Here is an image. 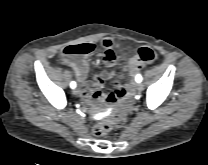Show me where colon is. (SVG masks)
<instances>
[{"mask_svg": "<svg viewBox=\"0 0 208 165\" xmlns=\"http://www.w3.org/2000/svg\"><path fill=\"white\" fill-rule=\"evenodd\" d=\"M92 49L89 45H86L84 43L80 44H73L65 47L62 51V55L65 58H73V57H79L83 56L86 54L91 53ZM158 56L157 54L150 48L148 47H142L138 49L137 55H131L129 57V62L127 65L124 67V75L126 77H133L136 72H139L141 68L144 66V64L152 63L157 60ZM121 81V80H119ZM122 83V88H121V98H123L127 90L123 86ZM127 120V114L126 112L122 111L120 112L114 119L112 120H107L99 125H97L93 132L95 136H104L107 134L113 127H121L124 126Z\"/></svg>", "mask_w": 208, "mask_h": 165, "instance_id": "obj_1", "label": "colon"}]
</instances>
